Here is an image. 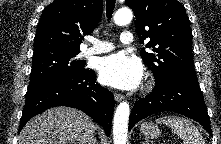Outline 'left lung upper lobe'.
Segmentation results:
<instances>
[{"label": "left lung upper lobe", "mask_w": 221, "mask_h": 144, "mask_svg": "<svg viewBox=\"0 0 221 144\" xmlns=\"http://www.w3.org/2000/svg\"><path fill=\"white\" fill-rule=\"evenodd\" d=\"M136 16V31L147 48L141 57L156 80L181 77L198 81L192 57V32L184 6L177 0H125Z\"/></svg>", "instance_id": "left-lung-upper-lobe-1"}]
</instances>
